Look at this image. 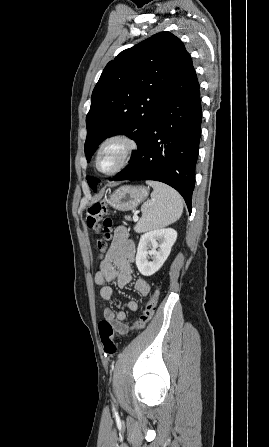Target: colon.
<instances>
[{
	"instance_id": "colon-1",
	"label": "colon",
	"mask_w": 269,
	"mask_h": 447,
	"mask_svg": "<svg viewBox=\"0 0 269 447\" xmlns=\"http://www.w3.org/2000/svg\"><path fill=\"white\" fill-rule=\"evenodd\" d=\"M108 202L95 203L90 206L86 212L85 221L89 228L94 229L100 233V238L97 242L99 249L104 248L111 239L112 220L106 216L108 212ZM159 288H156L152 292L150 300L147 302V309L144 315H140L138 320L133 321L132 327L134 331L144 330L148 325L149 320H152V313L156 310V305L159 300ZM98 332L103 344L104 352L110 356L115 355L118 352L117 343L115 342V330L113 325L107 320H100L98 323ZM134 339L136 334L129 335Z\"/></svg>"
}]
</instances>
